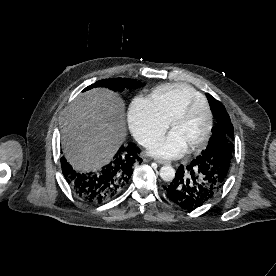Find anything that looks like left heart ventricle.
Masks as SVG:
<instances>
[{
    "instance_id": "b2bd125f",
    "label": "left heart ventricle",
    "mask_w": 276,
    "mask_h": 276,
    "mask_svg": "<svg viewBox=\"0 0 276 276\" xmlns=\"http://www.w3.org/2000/svg\"><path fill=\"white\" fill-rule=\"evenodd\" d=\"M207 124V112L199 107L189 118L175 123L172 130L178 133L187 147L190 148L203 137Z\"/></svg>"
}]
</instances>
